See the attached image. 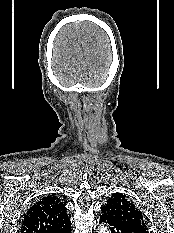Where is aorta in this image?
Returning <instances> with one entry per match:
<instances>
[{"mask_svg": "<svg viewBox=\"0 0 174 233\" xmlns=\"http://www.w3.org/2000/svg\"><path fill=\"white\" fill-rule=\"evenodd\" d=\"M97 233H109V230L107 228V226H100L98 229H97Z\"/></svg>", "mask_w": 174, "mask_h": 233, "instance_id": "762f6f07", "label": "aorta"}]
</instances>
